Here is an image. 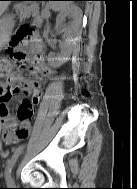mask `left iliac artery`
I'll list each match as a JSON object with an SVG mask.
<instances>
[{"instance_id": "1", "label": "left iliac artery", "mask_w": 137, "mask_h": 189, "mask_svg": "<svg viewBox=\"0 0 137 189\" xmlns=\"http://www.w3.org/2000/svg\"><path fill=\"white\" fill-rule=\"evenodd\" d=\"M25 148V145L19 147L13 154V156L11 157V159L8 161L6 169H5V179L6 181H8L11 177V170L16 162V160L18 159L19 155L23 152ZM7 183V182H6Z\"/></svg>"}]
</instances>
